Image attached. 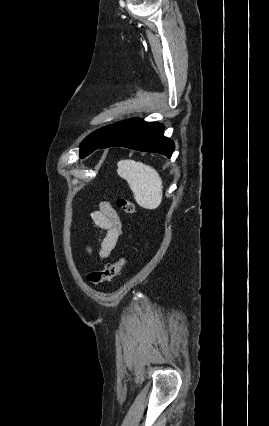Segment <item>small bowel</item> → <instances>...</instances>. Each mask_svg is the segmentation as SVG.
I'll use <instances>...</instances> for the list:
<instances>
[{
	"instance_id": "obj_1",
	"label": "small bowel",
	"mask_w": 269,
	"mask_h": 426,
	"mask_svg": "<svg viewBox=\"0 0 269 426\" xmlns=\"http://www.w3.org/2000/svg\"><path fill=\"white\" fill-rule=\"evenodd\" d=\"M92 220L104 233L97 255L100 261H104L111 255L123 236L121 220L108 202H102L99 209L92 213ZM88 252L90 253L91 250L88 249Z\"/></svg>"
}]
</instances>
